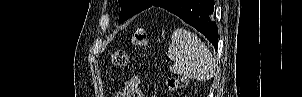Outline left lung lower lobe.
Masks as SVG:
<instances>
[{
    "mask_svg": "<svg viewBox=\"0 0 302 97\" xmlns=\"http://www.w3.org/2000/svg\"><path fill=\"white\" fill-rule=\"evenodd\" d=\"M151 6L164 8L177 15L205 35L217 49L218 30L213 18L214 0H155Z\"/></svg>",
    "mask_w": 302,
    "mask_h": 97,
    "instance_id": "left-lung-lower-lobe-1",
    "label": "left lung lower lobe"
}]
</instances>
